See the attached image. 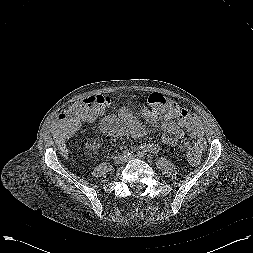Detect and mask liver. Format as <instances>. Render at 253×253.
I'll use <instances>...</instances> for the list:
<instances>
[{
  "instance_id": "6515ba94",
  "label": "liver",
  "mask_w": 253,
  "mask_h": 253,
  "mask_svg": "<svg viewBox=\"0 0 253 253\" xmlns=\"http://www.w3.org/2000/svg\"><path fill=\"white\" fill-rule=\"evenodd\" d=\"M51 133L55 140V143L58 146V149L63 153L64 152V137L60 132L58 124L54 121L51 126Z\"/></svg>"
}]
</instances>
